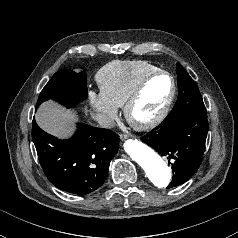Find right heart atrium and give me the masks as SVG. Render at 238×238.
<instances>
[{
	"mask_svg": "<svg viewBox=\"0 0 238 238\" xmlns=\"http://www.w3.org/2000/svg\"><path fill=\"white\" fill-rule=\"evenodd\" d=\"M87 98L89 105L98 115L100 125L104 128L110 127L118 116V108L99 92L89 91Z\"/></svg>",
	"mask_w": 238,
	"mask_h": 238,
	"instance_id": "obj_1",
	"label": "right heart atrium"
}]
</instances>
